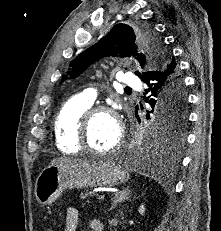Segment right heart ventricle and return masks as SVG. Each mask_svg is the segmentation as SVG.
<instances>
[{
    "label": "right heart ventricle",
    "mask_w": 221,
    "mask_h": 231,
    "mask_svg": "<svg viewBox=\"0 0 221 231\" xmlns=\"http://www.w3.org/2000/svg\"><path fill=\"white\" fill-rule=\"evenodd\" d=\"M91 104L79 97L66 101L54 121L56 146L64 154H76L82 150L78 143V123Z\"/></svg>",
    "instance_id": "right-heart-ventricle-1"
}]
</instances>
